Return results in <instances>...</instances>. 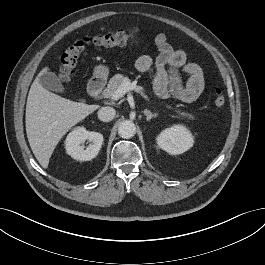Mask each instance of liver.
<instances>
[{
    "instance_id": "obj_1",
    "label": "liver",
    "mask_w": 265,
    "mask_h": 265,
    "mask_svg": "<svg viewBox=\"0 0 265 265\" xmlns=\"http://www.w3.org/2000/svg\"><path fill=\"white\" fill-rule=\"evenodd\" d=\"M49 70L45 67L32 83L26 104V133L33 154L47 168L61 138L98 106L73 102L44 88L39 78Z\"/></svg>"
}]
</instances>
